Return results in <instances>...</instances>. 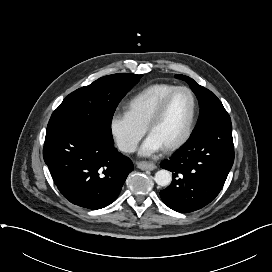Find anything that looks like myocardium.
I'll return each instance as SVG.
<instances>
[{"instance_id": "1", "label": "myocardium", "mask_w": 272, "mask_h": 272, "mask_svg": "<svg viewBox=\"0 0 272 272\" xmlns=\"http://www.w3.org/2000/svg\"><path fill=\"white\" fill-rule=\"evenodd\" d=\"M180 91H185L190 95L191 100H192V112H191L189 122L187 124V127H186L183 135L174 143L163 147V149L167 152L175 151V150L179 149L180 147H182L190 139V137L194 131L195 124L197 121V116H198V100H197L195 93L189 87H186V86H177L176 88L171 90L159 102V104L157 105V107L153 111L152 115L150 116L147 126H146V130L150 134L153 127L160 121V119L164 115V113L167 109V106H168L169 102L171 101V99L173 98V96Z\"/></svg>"}]
</instances>
